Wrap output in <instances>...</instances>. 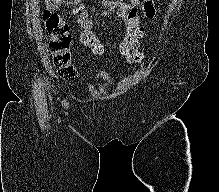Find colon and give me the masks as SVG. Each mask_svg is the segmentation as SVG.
I'll list each match as a JSON object with an SVG mask.
<instances>
[{
    "label": "colon",
    "instance_id": "obj_1",
    "mask_svg": "<svg viewBox=\"0 0 219 192\" xmlns=\"http://www.w3.org/2000/svg\"><path fill=\"white\" fill-rule=\"evenodd\" d=\"M43 21L50 41L54 66L59 76L65 80H73L77 76V70L72 62V36L67 23L59 13L49 8L43 12ZM138 38L137 33L128 34L119 46L120 53L131 62H139L142 58ZM92 44L93 48L102 49L98 42L92 41Z\"/></svg>",
    "mask_w": 219,
    "mask_h": 192
}]
</instances>
